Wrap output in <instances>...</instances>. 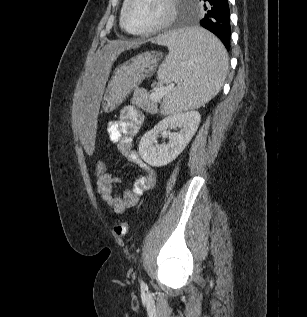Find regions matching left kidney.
Listing matches in <instances>:
<instances>
[{
  "label": "left kidney",
  "mask_w": 307,
  "mask_h": 317,
  "mask_svg": "<svg viewBox=\"0 0 307 317\" xmlns=\"http://www.w3.org/2000/svg\"><path fill=\"white\" fill-rule=\"evenodd\" d=\"M198 111L178 112L163 119L152 130L147 131L139 142V155L151 166H165L173 161L192 139L200 123ZM169 128H180L179 132L169 134L167 144L157 145L160 133L167 134Z\"/></svg>",
  "instance_id": "left-kidney-1"
}]
</instances>
